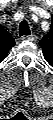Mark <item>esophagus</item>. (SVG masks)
Here are the masks:
<instances>
[{
	"instance_id": "esophagus-1",
	"label": "esophagus",
	"mask_w": 53,
	"mask_h": 120,
	"mask_svg": "<svg viewBox=\"0 0 53 120\" xmlns=\"http://www.w3.org/2000/svg\"><path fill=\"white\" fill-rule=\"evenodd\" d=\"M21 40H23V41H34L35 40V36H33V35L22 36Z\"/></svg>"
}]
</instances>
